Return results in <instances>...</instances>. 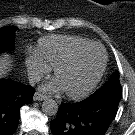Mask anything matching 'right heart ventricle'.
Wrapping results in <instances>:
<instances>
[{
  "label": "right heart ventricle",
  "mask_w": 135,
  "mask_h": 135,
  "mask_svg": "<svg viewBox=\"0 0 135 135\" xmlns=\"http://www.w3.org/2000/svg\"><path fill=\"white\" fill-rule=\"evenodd\" d=\"M92 42L79 36L48 35L39 40L36 52L48 66L54 67L77 48Z\"/></svg>",
  "instance_id": "1"
}]
</instances>
